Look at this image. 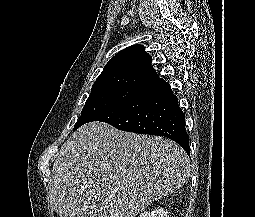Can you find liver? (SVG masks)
<instances>
[{
	"instance_id": "obj_1",
	"label": "liver",
	"mask_w": 255,
	"mask_h": 217,
	"mask_svg": "<svg viewBox=\"0 0 255 217\" xmlns=\"http://www.w3.org/2000/svg\"><path fill=\"white\" fill-rule=\"evenodd\" d=\"M51 172L60 217H135L188 180L190 160L167 138L91 122L67 139Z\"/></svg>"
}]
</instances>
